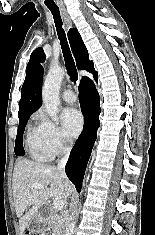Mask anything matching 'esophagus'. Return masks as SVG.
<instances>
[{
    "label": "esophagus",
    "instance_id": "34e87169",
    "mask_svg": "<svg viewBox=\"0 0 155 235\" xmlns=\"http://www.w3.org/2000/svg\"><path fill=\"white\" fill-rule=\"evenodd\" d=\"M62 15L65 21V24L67 25V28H71L72 27V23L70 20V17L68 16L67 12L65 10H62Z\"/></svg>",
    "mask_w": 155,
    "mask_h": 235
}]
</instances>
